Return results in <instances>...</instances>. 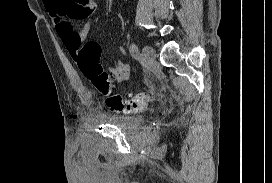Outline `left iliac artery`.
Instances as JSON below:
<instances>
[{
	"label": "left iliac artery",
	"instance_id": "1",
	"mask_svg": "<svg viewBox=\"0 0 272 183\" xmlns=\"http://www.w3.org/2000/svg\"><path fill=\"white\" fill-rule=\"evenodd\" d=\"M129 51H130L131 56L134 59H137V60L140 59V52H139L138 46L135 43L130 44Z\"/></svg>",
	"mask_w": 272,
	"mask_h": 183
}]
</instances>
